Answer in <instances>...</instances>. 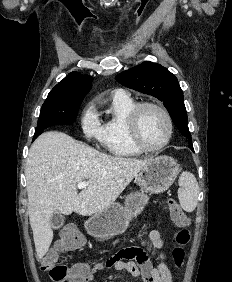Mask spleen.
Masks as SVG:
<instances>
[{"mask_svg": "<svg viewBox=\"0 0 232 282\" xmlns=\"http://www.w3.org/2000/svg\"><path fill=\"white\" fill-rule=\"evenodd\" d=\"M178 199L181 207L186 212H192L197 206L199 186L195 176L185 171L179 178Z\"/></svg>", "mask_w": 232, "mask_h": 282, "instance_id": "3e777b00", "label": "spleen"}]
</instances>
